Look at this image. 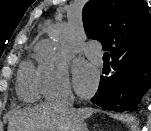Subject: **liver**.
Masks as SVG:
<instances>
[{"instance_id":"liver-1","label":"liver","mask_w":151,"mask_h":131,"mask_svg":"<svg viewBox=\"0 0 151 131\" xmlns=\"http://www.w3.org/2000/svg\"><path fill=\"white\" fill-rule=\"evenodd\" d=\"M96 112L92 108L63 109L55 102H45L15 113L8 131H88L84 120Z\"/></svg>"}]
</instances>
